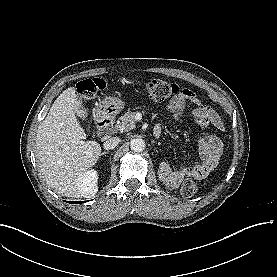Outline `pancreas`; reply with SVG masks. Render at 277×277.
<instances>
[{
  "label": "pancreas",
  "instance_id": "obj_1",
  "mask_svg": "<svg viewBox=\"0 0 277 277\" xmlns=\"http://www.w3.org/2000/svg\"><path fill=\"white\" fill-rule=\"evenodd\" d=\"M135 127V112L128 111L121 116L117 123L116 128L119 130L128 131Z\"/></svg>",
  "mask_w": 277,
  "mask_h": 277
}]
</instances>
